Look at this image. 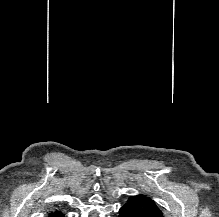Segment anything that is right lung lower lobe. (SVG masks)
Here are the masks:
<instances>
[{
    "mask_svg": "<svg viewBox=\"0 0 219 217\" xmlns=\"http://www.w3.org/2000/svg\"><path fill=\"white\" fill-rule=\"evenodd\" d=\"M48 217H65V215L61 211H54L49 214Z\"/></svg>",
    "mask_w": 219,
    "mask_h": 217,
    "instance_id": "1",
    "label": "right lung lower lobe"
}]
</instances>
